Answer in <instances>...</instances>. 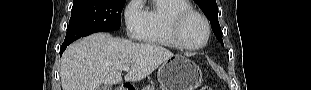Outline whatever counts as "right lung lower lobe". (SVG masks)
<instances>
[{
    "label": "right lung lower lobe",
    "mask_w": 311,
    "mask_h": 90,
    "mask_svg": "<svg viewBox=\"0 0 311 90\" xmlns=\"http://www.w3.org/2000/svg\"><path fill=\"white\" fill-rule=\"evenodd\" d=\"M68 45H69V44H62L61 50H60V55L63 53V51L66 49V47H67Z\"/></svg>",
    "instance_id": "right-lung-lower-lobe-1"
}]
</instances>
